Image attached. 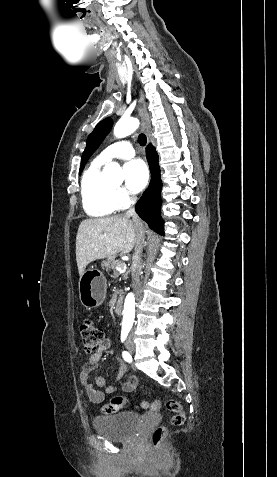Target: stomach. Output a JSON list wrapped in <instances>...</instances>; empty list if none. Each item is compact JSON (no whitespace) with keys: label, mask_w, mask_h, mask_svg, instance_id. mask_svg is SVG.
Instances as JSON below:
<instances>
[{"label":"stomach","mask_w":277,"mask_h":477,"mask_svg":"<svg viewBox=\"0 0 277 477\" xmlns=\"http://www.w3.org/2000/svg\"><path fill=\"white\" fill-rule=\"evenodd\" d=\"M106 278L104 275L94 269L85 270L79 278V300L86 308H95L100 306L106 296Z\"/></svg>","instance_id":"obj_1"}]
</instances>
